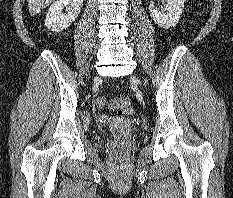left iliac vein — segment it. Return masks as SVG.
Instances as JSON below:
<instances>
[{
	"instance_id": "left-iliac-vein-1",
	"label": "left iliac vein",
	"mask_w": 233,
	"mask_h": 198,
	"mask_svg": "<svg viewBox=\"0 0 233 198\" xmlns=\"http://www.w3.org/2000/svg\"><path fill=\"white\" fill-rule=\"evenodd\" d=\"M132 81L135 82V83H139V80L136 79V78H132Z\"/></svg>"
}]
</instances>
